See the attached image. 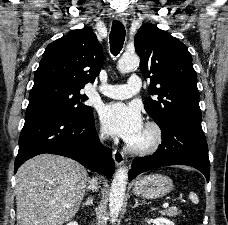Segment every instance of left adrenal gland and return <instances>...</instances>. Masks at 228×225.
Wrapping results in <instances>:
<instances>
[{
    "instance_id": "a2214340",
    "label": "left adrenal gland",
    "mask_w": 228,
    "mask_h": 225,
    "mask_svg": "<svg viewBox=\"0 0 228 225\" xmlns=\"http://www.w3.org/2000/svg\"><path fill=\"white\" fill-rule=\"evenodd\" d=\"M138 205H140V203H138V199H135V205H134V207H132V209H136V207H138Z\"/></svg>"
}]
</instances>
